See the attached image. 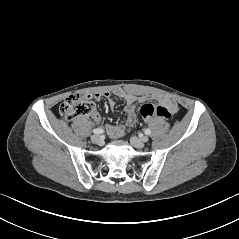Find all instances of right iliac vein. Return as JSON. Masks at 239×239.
I'll list each match as a JSON object with an SVG mask.
<instances>
[{"label":"right iliac vein","instance_id":"1","mask_svg":"<svg viewBox=\"0 0 239 239\" xmlns=\"http://www.w3.org/2000/svg\"><path fill=\"white\" fill-rule=\"evenodd\" d=\"M91 141L94 144H100L102 142L101 136L98 134L92 135L91 136Z\"/></svg>","mask_w":239,"mask_h":239}]
</instances>
